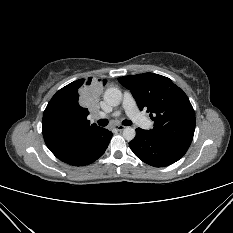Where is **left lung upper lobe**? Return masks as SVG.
Wrapping results in <instances>:
<instances>
[{
    "mask_svg": "<svg viewBox=\"0 0 233 233\" xmlns=\"http://www.w3.org/2000/svg\"><path fill=\"white\" fill-rule=\"evenodd\" d=\"M118 81L133 94L140 110H147L154 121L149 130L155 138L189 146L195 131L194 109L182 89L154 73L120 77Z\"/></svg>",
    "mask_w": 233,
    "mask_h": 233,
    "instance_id": "5c2ea615",
    "label": "left lung upper lobe"
}]
</instances>
